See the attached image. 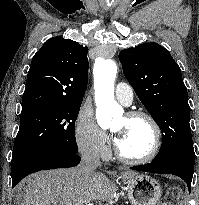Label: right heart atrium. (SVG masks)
I'll use <instances>...</instances> for the list:
<instances>
[{
  "label": "right heart atrium",
  "mask_w": 199,
  "mask_h": 205,
  "mask_svg": "<svg viewBox=\"0 0 199 205\" xmlns=\"http://www.w3.org/2000/svg\"><path fill=\"white\" fill-rule=\"evenodd\" d=\"M75 140L79 151L87 157L104 158L108 155V137L90 110H80L75 123Z\"/></svg>",
  "instance_id": "right-heart-atrium-1"
}]
</instances>
